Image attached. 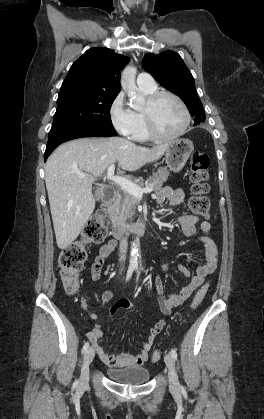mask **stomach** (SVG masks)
Segmentation results:
<instances>
[{
    "label": "stomach",
    "instance_id": "stomach-1",
    "mask_svg": "<svg viewBox=\"0 0 264 419\" xmlns=\"http://www.w3.org/2000/svg\"><path fill=\"white\" fill-rule=\"evenodd\" d=\"M165 159L168 168L173 172H179L185 166L194 146L189 139L181 138L168 144Z\"/></svg>",
    "mask_w": 264,
    "mask_h": 419
}]
</instances>
